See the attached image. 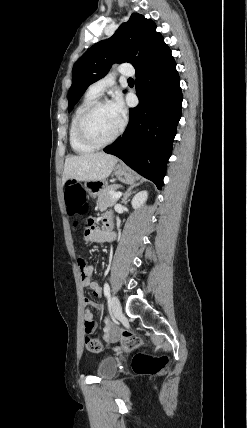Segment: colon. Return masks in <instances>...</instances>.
<instances>
[{
  "label": "colon",
  "instance_id": "1",
  "mask_svg": "<svg viewBox=\"0 0 247 428\" xmlns=\"http://www.w3.org/2000/svg\"><path fill=\"white\" fill-rule=\"evenodd\" d=\"M63 200L65 202V215L71 220V225L74 226L77 236L85 235L94 225L93 217L86 216V198L85 191L82 185L77 181H68L65 185V193ZM84 260L79 259L78 265H83ZM81 305H90L92 309L95 307L98 314L104 313L105 305H102L96 298L92 300H81ZM97 327V322L90 317L84 320L83 329L88 334L85 337V346L90 352H100L102 350L101 342L89 335H92ZM121 342L125 349H135L140 346L141 340L139 337L129 331H123L121 334ZM166 357L152 358L144 354H138L133 361V367L138 373H156L166 364Z\"/></svg>",
  "mask_w": 247,
  "mask_h": 428
}]
</instances>
